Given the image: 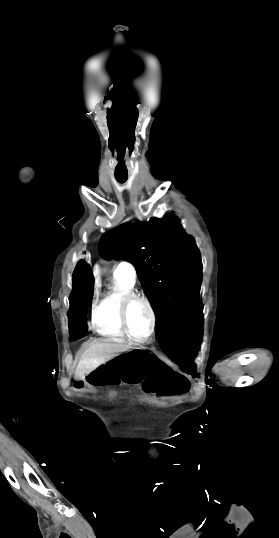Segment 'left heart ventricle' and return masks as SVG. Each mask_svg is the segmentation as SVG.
I'll list each match as a JSON object with an SVG mask.
<instances>
[{"instance_id":"1","label":"left heart ventricle","mask_w":279,"mask_h":538,"mask_svg":"<svg viewBox=\"0 0 279 538\" xmlns=\"http://www.w3.org/2000/svg\"><path fill=\"white\" fill-rule=\"evenodd\" d=\"M101 210L113 211L116 207H98ZM98 222H104L103 218H98ZM90 225L86 228H90ZM128 325L131 333L144 338L148 335L151 327V316L148 308L141 302L133 303L128 310Z\"/></svg>"}]
</instances>
